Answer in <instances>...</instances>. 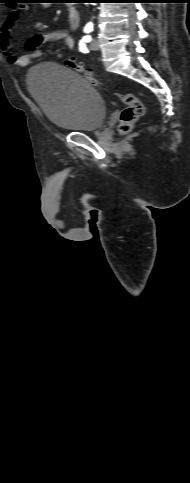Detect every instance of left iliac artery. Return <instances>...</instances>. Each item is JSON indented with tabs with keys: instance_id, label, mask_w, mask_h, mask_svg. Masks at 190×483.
<instances>
[{
	"instance_id": "44dca946",
	"label": "left iliac artery",
	"mask_w": 190,
	"mask_h": 483,
	"mask_svg": "<svg viewBox=\"0 0 190 483\" xmlns=\"http://www.w3.org/2000/svg\"><path fill=\"white\" fill-rule=\"evenodd\" d=\"M92 40L90 35L84 36L80 41H79V50L83 53H88V49L86 47V43L90 42Z\"/></svg>"
}]
</instances>
